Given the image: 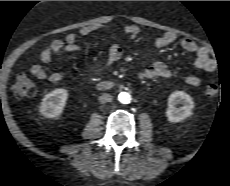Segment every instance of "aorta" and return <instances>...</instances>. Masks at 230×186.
Instances as JSON below:
<instances>
[{
  "instance_id": "762f6f07",
  "label": "aorta",
  "mask_w": 230,
  "mask_h": 186,
  "mask_svg": "<svg viewBox=\"0 0 230 186\" xmlns=\"http://www.w3.org/2000/svg\"><path fill=\"white\" fill-rule=\"evenodd\" d=\"M131 95L128 92H121L118 95V100L122 103V104H129L131 102Z\"/></svg>"
}]
</instances>
